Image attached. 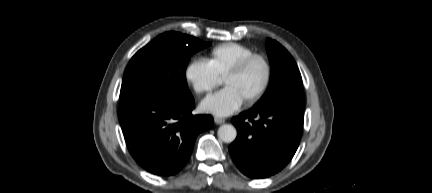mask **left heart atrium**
Instances as JSON below:
<instances>
[{
  "instance_id": "39dd6f15",
  "label": "left heart atrium",
  "mask_w": 432,
  "mask_h": 193,
  "mask_svg": "<svg viewBox=\"0 0 432 193\" xmlns=\"http://www.w3.org/2000/svg\"><path fill=\"white\" fill-rule=\"evenodd\" d=\"M239 104V97L235 94V92L227 89L219 95L218 99L214 103V106L217 112L225 114L228 111L236 108Z\"/></svg>"
}]
</instances>
